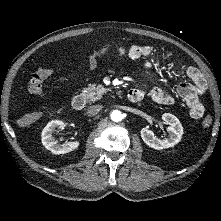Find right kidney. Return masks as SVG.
<instances>
[{"instance_id": "right-kidney-1", "label": "right kidney", "mask_w": 221, "mask_h": 221, "mask_svg": "<svg viewBox=\"0 0 221 221\" xmlns=\"http://www.w3.org/2000/svg\"><path fill=\"white\" fill-rule=\"evenodd\" d=\"M56 127H65L64 122L60 120L50 121L43 129L41 137L43 146L53 154H65L78 148L79 141L57 143L52 133Z\"/></svg>"}]
</instances>
